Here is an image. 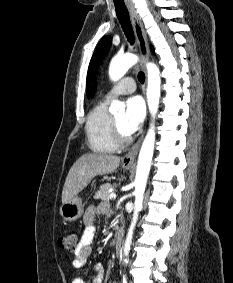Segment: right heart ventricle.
Wrapping results in <instances>:
<instances>
[{"instance_id":"1","label":"right heart ventricle","mask_w":233,"mask_h":283,"mask_svg":"<svg viewBox=\"0 0 233 283\" xmlns=\"http://www.w3.org/2000/svg\"><path fill=\"white\" fill-rule=\"evenodd\" d=\"M112 116L107 110V101L98 102L89 112L86 136L89 148L98 154L113 153L117 149L112 137Z\"/></svg>"}]
</instances>
